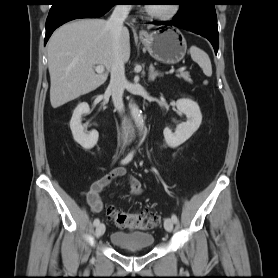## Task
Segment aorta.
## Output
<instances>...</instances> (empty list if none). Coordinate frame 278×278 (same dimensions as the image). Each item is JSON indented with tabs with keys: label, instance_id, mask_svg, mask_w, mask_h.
Here are the masks:
<instances>
[{
	"label": "aorta",
	"instance_id": "obj_1",
	"mask_svg": "<svg viewBox=\"0 0 278 278\" xmlns=\"http://www.w3.org/2000/svg\"><path fill=\"white\" fill-rule=\"evenodd\" d=\"M129 108H130L131 116L134 119L136 126L138 127L139 131L142 133L145 129V121L142 112L140 111L139 107L132 102L129 104Z\"/></svg>",
	"mask_w": 278,
	"mask_h": 278
}]
</instances>
